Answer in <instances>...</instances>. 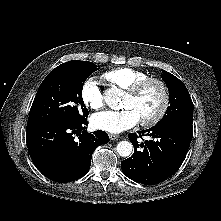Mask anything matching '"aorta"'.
Listing matches in <instances>:
<instances>
[{
	"mask_svg": "<svg viewBox=\"0 0 221 221\" xmlns=\"http://www.w3.org/2000/svg\"><path fill=\"white\" fill-rule=\"evenodd\" d=\"M122 92L120 89L117 88H110L105 92L104 102L111 108V109H118L120 96ZM116 150L118 154L122 157H128L132 154L133 145L129 141H120L117 144Z\"/></svg>",
	"mask_w": 221,
	"mask_h": 221,
	"instance_id": "obj_1",
	"label": "aorta"
}]
</instances>
